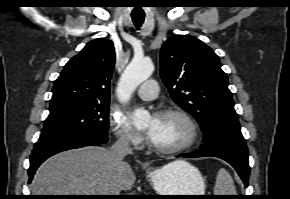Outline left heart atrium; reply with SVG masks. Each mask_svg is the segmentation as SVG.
I'll use <instances>...</instances> for the list:
<instances>
[{
  "label": "left heart atrium",
  "instance_id": "39dd6f15",
  "mask_svg": "<svg viewBox=\"0 0 290 199\" xmlns=\"http://www.w3.org/2000/svg\"><path fill=\"white\" fill-rule=\"evenodd\" d=\"M154 128L155 124L153 123L148 129H147V135L151 139L154 134Z\"/></svg>",
  "mask_w": 290,
  "mask_h": 199
}]
</instances>
